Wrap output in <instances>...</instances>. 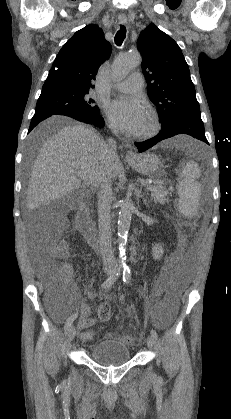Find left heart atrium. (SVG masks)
<instances>
[{"label":"left heart atrium","instance_id":"1","mask_svg":"<svg viewBox=\"0 0 231 419\" xmlns=\"http://www.w3.org/2000/svg\"><path fill=\"white\" fill-rule=\"evenodd\" d=\"M108 114L120 129L129 133H138L144 122L146 113L137 100L119 99L108 106Z\"/></svg>","mask_w":231,"mask_h":419}]
</instances>
